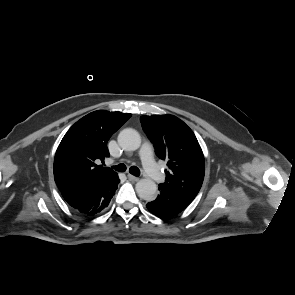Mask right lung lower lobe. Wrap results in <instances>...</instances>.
<instances>
[{
  "mask_svg": "<svg viewBox=\"0 0 295 295\" xmlns=\"http://www.w3.org/2000/svg\"><path fill=\"white\" fill-rule=\"evenodd\" d=\"M119 182L116 174L92 188L62 193V196L77 211L93 216L108 206Z\"/></svg>",
  "mask_w": 295,
  "mask_h": 295,
  "instance_id": "right-lung-lower-lobe-1",
  "label": "right lung lower lobe"
}]
</instances>
